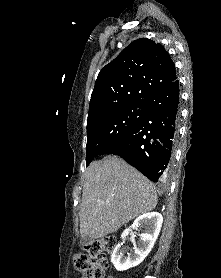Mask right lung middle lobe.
Segmentation results:
<instances>
[{
	"mask_svg": "<svg viewBox=\"0 0 221 278\" xmlns=\"http://www.w3.org/2000/svg\"><path fill=\"white\" fill-rule=\"evenodd\" d=\"M145 101L133 102L87 123L86 165L111 143L128 134L146 113Z\"/></svg>",
	"mask_w": 221,
	"mask_h": 278,
	"instance_id": "obj_1",
	"label": "right lung middle lobe"
}]
</instances>
